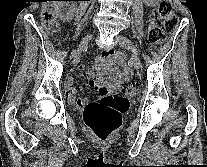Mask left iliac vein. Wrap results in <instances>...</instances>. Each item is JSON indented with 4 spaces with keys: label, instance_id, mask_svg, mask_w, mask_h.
Listing matches in <instances>:
<instances>
[{
    "label": "left iliac vein",
    "instance_id": "1",
    "mask_svg": "<svg viewBox=\"0 0 207 167\" xmlns=\"http://www.w3.org/2000/svg\"><path fill=\"white\" fill-rule=\"evenodd\" d=\"M119 46L127 49L128 51L131 52V60L134 64V67L139 70L141 68V61L140 58L138 56L136 47L134 46V44L132 43L131 40H129L127 37L124 36H117L116 38Z\"/></svg>",
    "mask_w": 207,
    "mask_h": 167
}]
</instances>
